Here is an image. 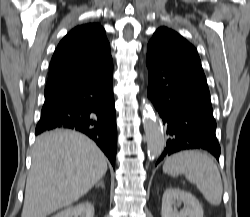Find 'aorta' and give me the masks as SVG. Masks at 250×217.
Wrapping results in <instances>:
<instances>
[{"label": "aorta", "mask_w": 250, "mask_h": 217, "mask_svg": "<svg viewBox=\"0 0 250 217\" xmlns=\"http://www.w3.org/2000/svg\"><path fill=\"white\" fill-rule=\"evenodd\" d=\"M142 121L147 139L148 156L158 158L164 150L166 141L161 122L148 104H142Z\"/></svg>", "instance_id": "1"}]
</instances>
